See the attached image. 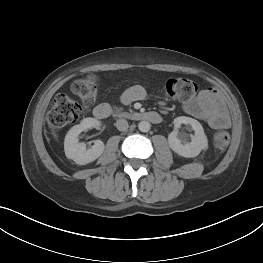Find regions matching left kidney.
Listing matches in <instances>:
<instances>
[{
  "mask_svg": "<svg viewBox=\"0 0 263 263\" xmlns=\"http://www.w3.org/2000/svg\"><path fill=\"white\" fill-rule=\"evenodd\" d=\"M174 130L168 136L170 148L178 155L186 158L196 157L201 150L208 148V140L204 133L202 125L195 119L180 116L174 119ZM181 124H189L195 131V135L191 138V142H184L178 132Z\"/></svg>",
  "mask_w": 263,
  "mask_h": 263,
  "instance_id": "obj_1",
  "label": "left kidney"
}]
</instances>
